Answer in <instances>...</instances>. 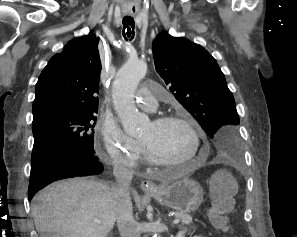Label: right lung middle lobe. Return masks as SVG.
Masks as SVG:
<instances>
[{"label": "right lung middle lobe", "instance_id": "right-lung-middle-lobe-1", "mask_svg": "<svg viewBox=\"0 0 297 237\" xmlns=\"http://www.w3.org/2000/svg\"><path fill=\"white\" fill-rule=\"evenodd\" d=\"M95 113H54L32 123V155L54 145H73L93 152Z\"/></svg>", "mask_w": 297, "mask_h": 237}]
</instances>
